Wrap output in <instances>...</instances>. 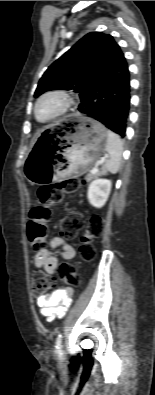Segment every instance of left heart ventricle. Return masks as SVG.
Masks as SVG:
<instances>
[{
    "label": "left heart ventricle",
    "mask_w": 155,
    "mask_h": 395,
    "mask_svg": "<svg viewBox=\"0 0 155 395\" xmlns=\"http://www.w3.org/2000/svg\"><path fill=\"white\" fill-rule=\"evenodd\" d=\"M51 109V105H43L40 109V115L46 116L51 111Z\"/></svg>",
    "instance_id": "1"
}]
</instances>
